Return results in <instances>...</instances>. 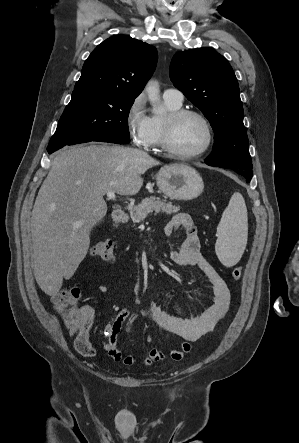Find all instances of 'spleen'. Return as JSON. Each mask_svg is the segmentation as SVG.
<instances>
[{"instance_id": "obj_1", "label": "spleen", "mask_w": 299, "mask_h": 443, "mask_svg": "<svg viewBox=\"0 0 299 443\" xmlns=\"http://www.w3.org/2000/svg\"><path fill=\"white\" fill-rule=\"evenodd\" d=\"M217 234L215 251L218 259L226 267L236 265L244 253L248 238L247 208L239 192L232 195L224 210Z\"/></svg>"}]
</instances>
